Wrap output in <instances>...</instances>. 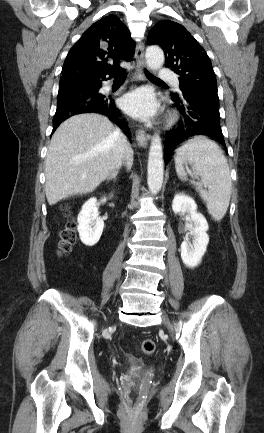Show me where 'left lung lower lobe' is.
<instances>
[{
  "instance_id": "0a47b994",
  "label": "left lung lower lobe",
  "mask_w": 264,
  "mask_h": 433,
  "mask_svg": "<svg viewBox=\"0 0 264 433\" xmlns=\"http://www.w3.org/2000/svg\"><path fill=\"white\" fill-rule=\"evenodd\" d=\"M171 97L183 120L176 130L166 135L165 163L169 161L172 151L192 136H207L226 148L220 126L217 94L205 90H187L179 95L171 93Z\"/></svg>"
}]
</instances>
